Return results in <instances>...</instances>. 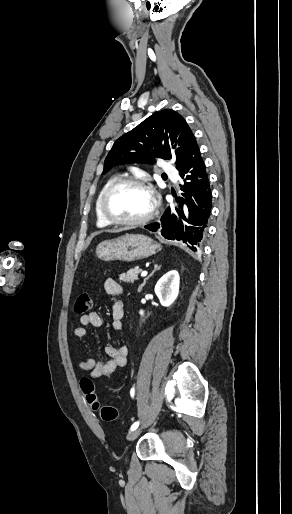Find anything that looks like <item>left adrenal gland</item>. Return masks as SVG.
<instances>
[{
	"mask_svg": "<svg viewBox=\"0 0 292 514\" xmlns=\"http://www.w3.org/2000/svg\"><path fill=\"white\" fill-rule=\"evenodd\" d=\"M160 268H161V266H158V264H155L152 274H149V276H147V278H145L143 284H141V286H139L138 292H141L143 286H145V284H146V280H149V278H151V276H153V274H155V272H157V270H160Z\"/></svg>",
	"mask_w": 292,
	"mask_h": 514,
	"instance_id": "1",
	"label": "left adrenal gland"
}]
</instances>
